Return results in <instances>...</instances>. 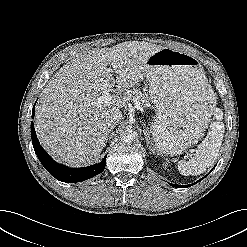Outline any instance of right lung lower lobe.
<instances>
[{
	"label": "right lung lower lobe",
	"instance_id": "obj_1",
	"mask_svg": "<svg viewBox=\"0 0 247 247\" xmlns=\"http://www.w3.org/2000/svg\"><path fill=\"white\" fill-rule=\"evenodd\" d=\"M34 108L35 106H33L32 116H34ZM31 138L35 153L40 162L45 169L59 181L68 183L80 182L98 175L105 168L107 155L100 163L84 168H69L56 163L40 145L33 123L31 124Z\"/></svg>",
	"mask_w": 247,
	"mask_h": 247
}]
</instances>
